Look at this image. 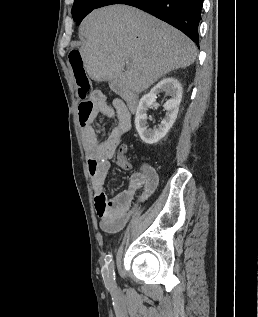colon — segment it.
<instances>
[{
	"label": "colon",
	"instance_id": "colon-1",
	"mask_svg": "<svg viewBox=\"0 0 258 317\" xmlns=\"http://www.w3.org/2000/svg\"><path fill=\"white\" fill-rule=\"evenodd\" d=\"M68 57L70 66L75 76L78 97L81 99V101H86L91 93L92 85L84 67L81 53L77 48H73L70 50ZM126 152V145L123 144L118 147L115 154V161L118 165L128 166Z\"/></svg>",
	"mask_w": 258,
	"mask_h": 317
}]
</instances>
